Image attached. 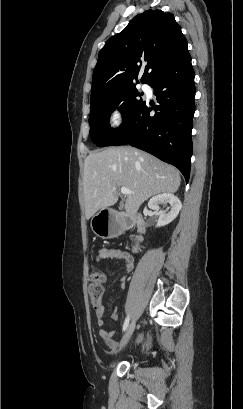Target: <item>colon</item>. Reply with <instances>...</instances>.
Masks as SVG:
<instances>
[{
	"instance_id": "obj_1",
	"label": "colon",
	"mask_w": 243,
	"mask_h": 409,
	"mask_svg": "<svg viewBox=\"0 0 243 409\" xmlns=\"http://www.w3.org/2000/svg\"><path fill=\"white\" fill-rule=\"evenodd\" d=\"M89 294L96 308L101 306V300L103 296V275L99 269H94L90 275V281L88 284Z\"/></svg>"
}]
</instances>
